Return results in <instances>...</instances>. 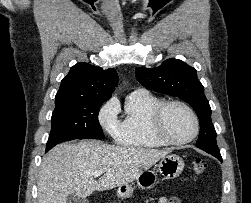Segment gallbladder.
I'll return each instance as SVG.
<instances>
[{"mask_svg":"<svg viewBox=\"0 0 251 203\" xmlns=\"http://www.w3.org/2000/svg\"><path fill=\"white\" fill-rule=\"evenodd\" d=\"M66 203H88V200L85 198H81L75 194H70L67 197Z\"/></svg>","mask_w":251,"mask_h":203,"instance_id":"gallbladder-1","label":"gallbladder"}]
</instances>
